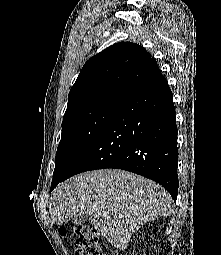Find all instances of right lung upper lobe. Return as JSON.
<instances>
[{"label": "right lung upper lobe", "mask_w": 221, "mask_h": 255, "mask_svg": "<svg viewBox=\"0 0 221 255\" xmlns=\"http://www.w3.org/2000/svg\"><path fill=\"white\" fill-rule=\"evenodd\" d=\"M162 76L140 45L116 43L90 58L72 86L64 118L103 105H120Z\"/></svg>", "instance_id": "cb5924a9"}]
</instances>
